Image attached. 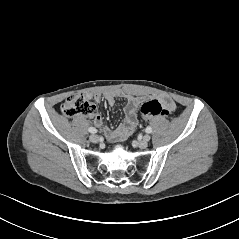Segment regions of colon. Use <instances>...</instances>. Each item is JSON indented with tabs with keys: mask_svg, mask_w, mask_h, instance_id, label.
I'll list each match as a JSON object with an SVG mask.
<instances>
[{
	"mask_svg": "<svg viewBox=\"0 0 239 239\" xmlns=\"http://www.w3.org/2000/svg\"><path fill=\"white\" fill-rule=\"evenodd\" d=\"M94 109L95 106L90 101L89 97L83 94H75L68 97L61 107L63 114L68 117L77 115H91L94 112ZM140 111L142 117L146 121L157 116H167L169 113L168 110L158 100L145 102L141 106Z\"/></svg>",
	"mask_w": 239,
	"mask_h": 239,
	"instance_id": "colon-1",
	"label": "colon"
}]
</instances>
